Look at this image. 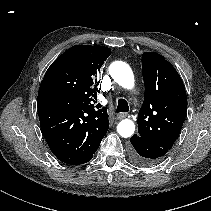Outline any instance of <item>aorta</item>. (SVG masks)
<instances>
[{"instance_id":"762f6f07","label":"aorta","mask_w":211,"mask_h":211,"mask_svg":"<svg viewBox=\"0 0 211 211\" xmlns=\"http://www.w3.org/2000/svg\"><path fill=\"white\" fill-rule=\"evenodd\" d=\"M109 74L116 83L126 89L134 86V75L128 64L122 61H115L109 67ZM135 123L130 119L119 122L117 132L121 137L128 138L134 134Z\"/></svg>"}]
</instances>
